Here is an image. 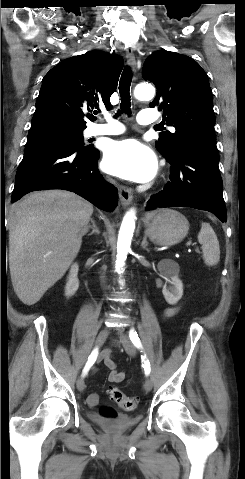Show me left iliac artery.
Segmentation results:
<instances>
[{
	"label": "left iliac artery",
	"instance_id": "obj_1",
	"mask_svg": "<svg viewBox=\"0 0 245 479\" xmlns=\"http://www.w3.org/2000/svg\"><path fill=\"white\" fill-rule=\"evenodd\" d=\"M129 337H130V340L132 341V343L138 348V349H141L142 348V344H141V341H140V338L138 337V334L137 332L134 330V329H131L130 332H129ZM142 361L144 364H142L144 370H145V374L146 375H149L150 374V371H151V368H150V363L148 360H146V356H142Z\"/></svg>",
	"mask_w": 245,
	"mask_h": 479
}]
</instances>
